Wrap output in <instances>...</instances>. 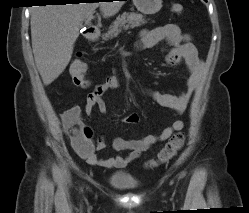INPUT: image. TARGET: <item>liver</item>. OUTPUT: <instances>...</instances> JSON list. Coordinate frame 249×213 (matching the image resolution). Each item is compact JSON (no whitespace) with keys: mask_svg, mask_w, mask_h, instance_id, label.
<instances>
[{"mask_svg":"<svg viewBox=\"0 0 249 213\" xmlns=\"http://www.w3.org/2000/svg\"><path fill=\"white\" fill-rule=\"evenodd\" d=\"M122 1L34 6L31 39L37 69L44 85L51 84L69 64L79 29L97 7L105 17L115 15Z\"/></svg>","mask_w":249,"mask_h":213,"instance_id":"6515ba94","label":"liver"}]
</instances>
